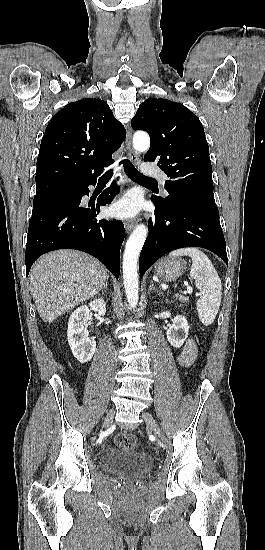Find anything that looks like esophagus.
<instances>
[{
	"label": "esophagus",
	"instance_id": "esophagus-1",
	"mask_svg": "<svg viewBox=\"0 0 265 550\" xmlns=\"http://www.w3.org/2000/svg\"><path fill=\"white\" fill-rule=\"evenodd\" d=\"M126 148H127V152H128V157L131 161H137L138 160V156L137 154L135 153L133 147H132V132H131V129L128 128V131H127V135H126ZM135 226V222H126L125 223V230L126 232H129L131 231Z\"/></svg>",
	"mask_w": 265,
	"mask_h": 550
}]
</instances>
